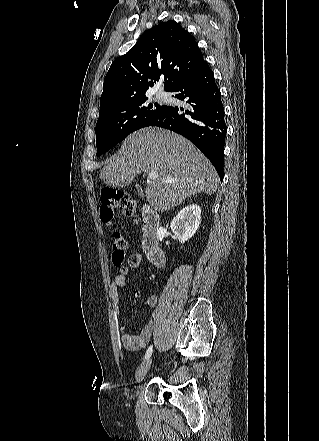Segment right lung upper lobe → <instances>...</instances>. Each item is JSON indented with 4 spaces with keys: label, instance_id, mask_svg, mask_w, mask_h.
Here are the masks:
<instances>
[{
    "label": "right lung upper lobe",
    "instance_id": "right-lung-upper-lobe-1",
    "mask_svg": "<svg viewBox=\"0 0 319 441\" xmlns=\"http://www.w3.org/2000/svg\"><path fill=\"white\" fill-rule=\"evenodd\" d=\"M194 37L180 24L167 21L147 30L138 42L110 66L100 98V111L146 97L164 77L165 91L204 63Z\"/></svg>",
    "mask_w": 319,
    "mask_h": 441
}]
</instances>
